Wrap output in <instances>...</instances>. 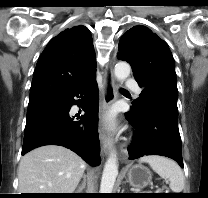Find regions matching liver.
Returning <instances> with one entry per match:
<instances>
[{
	"label": "liver",
	"instance_id": "6515ba94",
	"mask_svg": "<svg viewBox=\"0 0 208 198\" xmlns=\"http://www.w3.org/2000/svg\"><path fill=\"white\" fill-rule=\"evenodd\" d=\"M86 164L73 151L45 145L27 153L18 169L21 193H73Z\"/></svg>",
	"mask_w": 208,
	"mask_h": 198
}]
</instances>
